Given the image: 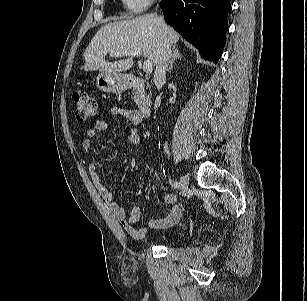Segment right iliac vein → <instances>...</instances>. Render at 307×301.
<instances>
[{
  "instance_id": "right-iliac-vein-1",
  "label": "right iliac vein",
  "mask_w": 307,
  "mask_h": 301,
  "mask_svg": "<svg viewBox=\"0 0 307 301\" xmlns=\"http://www.w3.org/2000/svg\"><path fill=\"white\" fill-rule=\"evenodd\" d=\"M180 182H181L182 195L186 196L188 193L189 178L186 175H182L180 177Z\"/></svg>"
}]
</instances>
